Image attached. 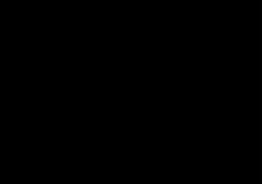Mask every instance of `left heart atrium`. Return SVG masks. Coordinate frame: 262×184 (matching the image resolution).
<instances>
[{
    "instance_id": "39dd6f15",
    "label": "left heart atrium",
    "mask_w": 262,
    "mask_h": 184,
    "mask_svg": "<svg viewBox=\"0 0 262 184\" xmlns=\"http://www.w3.org/2000/svg\"><path fill=\"white\" fill-rule=\"evenodd\" d=\"M126 91L131 94V99H134L142 94L143 86L139 83H129V84L121 85L116 89L113 95L115 98H118V96L121 93Z\"/></svg>"
}]
</instances>
